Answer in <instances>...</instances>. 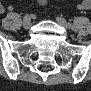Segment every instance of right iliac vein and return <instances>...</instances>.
<instances>
[{
  "mask_svg": "<svg viewBox=\"0 0 91 91\" xmlns=\"http://www.w3.org/2000/svg\"><path fill=\"white\" fill-rule=\"evenodd\" d=\"M32 23H31V19L30 18H25L23 20V27L25 29H29L31 27Z\"/></svg>",
  "mask_w": 91,
  "mask_h": 91,
  "instance_id": "63e3f726",
  "label": "right iliac vein"
}]
</instances>
